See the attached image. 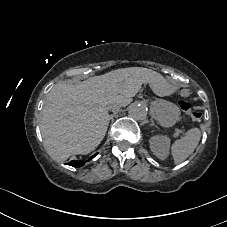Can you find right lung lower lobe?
<instances>
[{
    "label": "right lung lower lobe",
    "mask_w": 227,
    "mask_h": 227,
    "mask_svg": "<svg viewBox=\"0 0 227 227\" xmlns=\"http://www.w3.org/2000/svg\"><path fill=\"white\" fill-rule=\"evenodd\" d=\"M97 154L93 155L89 160L94 158ZM86 161H77V160H72L70 163H68L70 166L73 167H81L85 164Z\"/></svg>",
    "instance_id": "right-lung-lower-lobe-1"
}]
</instances>
